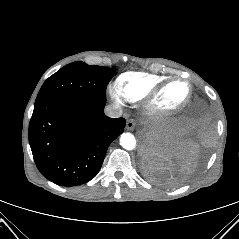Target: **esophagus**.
<instances>
[{
    "label": "esophagus",
    "mask_w": 239,
    "mask_h": 239,
    "mask_svg": "<svg viewBox=\"0 0 239 239\" xmlns=\"http://www.w3.org/2000/svg\"><path fill=\"white\" fill-rule=\"evenodd\" d=\"M136 126V121L134 119H129L126 123L127 130H133Z\"/></svg>",
    "instance_id": "1"
}]
</instances>
